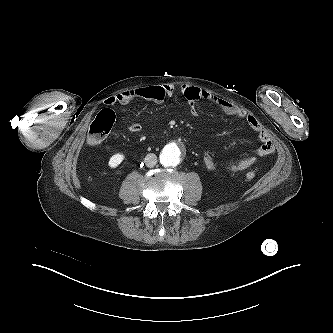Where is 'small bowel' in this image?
Returning <instances> with one entry per match:
<instances>
[{"label": "small bowel", "instance_id": "small-bowel-1", "mask_svg": "<svg viewBox=\"0 0 333 333\" xmlns=\"http://www.w3.org/2000/svg\"><path fill=\"white\" fill-rule=\"evenodd\" d=\"M176 88L173 84H163L157 86H147L131 90L120 92L116 95L108 97L105 100L106 105H114L116 103L127 104L136 99H143L153 102H163L166 98L175 94ZM180 92L186 99L190 106V112L192 115L197 114L196 104L200 101L209 103L219 108L228 116H232L238 119L246 121L248 126L258 134L261 145L258 147L253 155L237 160L226 166V171L229 173H237L252 167L258 158L267 157L274 153L275 147L268 132L263 128L259 120L246 110L239 108L238 106L217 97L200 88L183 85L180 88ZM128 130L132 133H138L141 131V126L138 123H131L128 125ZM204 164L209 171H216L217 165L213 157L209 153H205L203 156Z\"/></svg>", "mask_w": 333, "mask_h": 333}]
</instances>
